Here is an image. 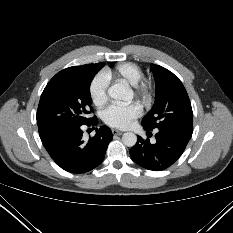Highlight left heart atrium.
<instances>
[{
	"label": "left heart atrium",
	"instance_id": "1",
	"mask_svg": "<svg viewBox=\"0 0 233 233\" xmlns=\"http://www.w3.org/2000/svg\"><path fill=\"white\" fill-rule=\"evenodd\" d=\"M141 114L142 106L137 102L130 104L114 103L104 111L103 120L111 127L126 129Z\"/></svg>",
	"mask_w": 233,
	"mask_h": 233
}]
</instances>
